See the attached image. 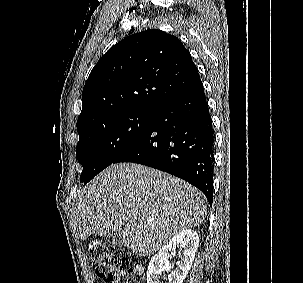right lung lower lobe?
<instances>
[{
	"mask_svg": "<svg viewBox=\"0 0 303 283\" xmlns=\"http://www.w3.org/2000/svg\"><path fill=\"white\" fill-rule=\"evenodd\" d=\"M133 162L175 175L213 200L214 134L202 82L165 102L145 132L113 163Z\"/></svg>",
	"mask_w": 303,
	"mask_h": 283,
	"instance_id": "right-lung-lower-lobe-1",
	"label": "right lung lower lobe"
}]
</instances>
